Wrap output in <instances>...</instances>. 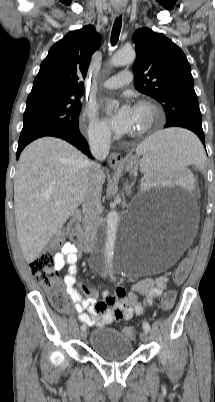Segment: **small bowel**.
<instances>
[{
	"label": "small bowel",
	"instance_id": "obj_1",
	"mask_svg": "<svg viewBox=\"0 0 215 402\" xmlns=\"http://www.w3.org/2000/svg\"><path fill=\"white\" fill-rule=\"evenodd\" d=\"M79 258L77 247L67 242L55 255V268L61 270L68 265L63 281L78 319L84 324L103 327L115 321L130 320L142 314L147 306L163 294L166 277L146 278L134 283L129 292L124 288L117 289L114 294L104 291L102 300H98V291L94 287L76 280ZM139 297L143 300L140 301Z\"/></svg>",
	"mask_w": 215,
	"mask_h": 402
}]
</instances>
